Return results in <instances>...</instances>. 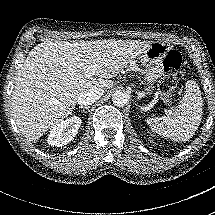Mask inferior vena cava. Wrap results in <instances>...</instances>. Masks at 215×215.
I'll use <instances>...</instances> for the list:
<instances>
[{"label":"inferior vena cava","instance_id":"inferior-vena-cava-1","mask_svg":"<svg viewBox=\"0 0 215 215\" xmlns=\"http://www.w3.org/2000/svg\"><path fill=\"white\" fill-rule=\"evenodd\" d=\"M103 93L104 91L82 93L80 96H78L77 103L81 107L90 106L94 102L98 101L102 97Z\"/></svg>","mask_w":215,"mask_h":215}]
</instances>
